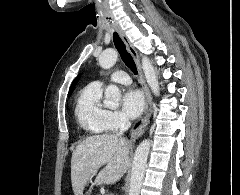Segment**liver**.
<instances>
[{
  "mask_svg": "<svg viewBox=\"0 0 240 195\" xmlns=\"http://www.w3.org/2000/svg\"><path fill=\"white\" fill-rule=\"evenodd\" d=\"M129 141L116 133L90 135L76 145L71 159V181L75 195H82L90 177L105 165L96 177L97 185L116 183L126 173L130 163Z\"/></svg>",
  "mask_w": 240,
  "mask_h": 195,
  "instance_id": "6515ba94",
  "label": "liver"
}]
</instances>
